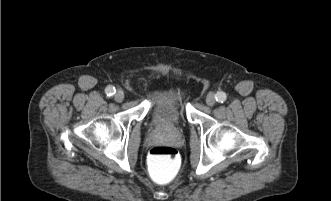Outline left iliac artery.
Returning <instances> with one entry per match:
<instances>
[{
  "instance_id": "1",
  "label": "left iliac artery",
  "mask_w": 331,
  "mask_h": 201,
  "mask_svg": "<svg viewBox=\"0 0 331 201\" xmlns=\"http://www.w3.org/2000/svg\"><path fill=\"white\" fill-rule=\"evenodd\" d=\"M215 98L217 102L223 103L226 100L227 96L224 92L221 91L216 93Z\"/></svg>"
}]
</instances>
